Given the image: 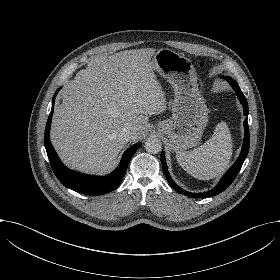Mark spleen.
<instances>
[{
  "label": "spleen",
  "mask_w": 280,
  "mask_h": 280,
  "mask_svg": "<svg viewBox=\"0 0 280 280\" xmlns=\"http://www.w3.org/2000/svg\"><path fill=\"white\" fill-rule=\"evenodd\" d=\"M233 139L228 124L221 121L212 139L199 149L175 154L178 164L199 180H211L224 172L232 160Z\"/></svg>",
  "instance_id": "1"
}]
</instances>
